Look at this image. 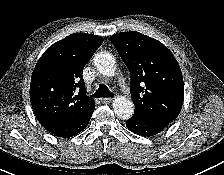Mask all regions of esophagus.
Wrapping results in <instances>:
<instances>
[{"instance_id":"obj_1","label":"esophagus","mask_w":224,"mask_h":175,"mask_svg":"<svg viewBox=\"0 0 224 175\" xmlns=\"http://www.w3.org/2000/svg\"><path fill=\"white\" fill-rule=\"evenodd\" d=\"M112 100H113V98L106 97V98H102L101 102L104 103V104H109V103L112 102Z\"/></svg>"}]
</instances>
